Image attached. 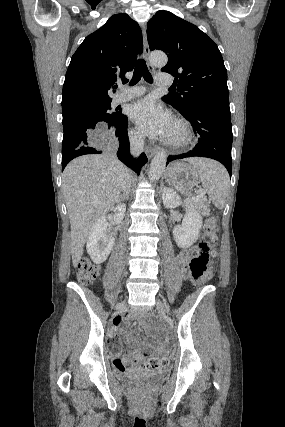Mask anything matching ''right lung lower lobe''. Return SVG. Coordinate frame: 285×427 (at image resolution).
<instances>
[{"mask_svg":"<svg viewBox=\"0 0 285 427\" xmlns=\"http://www.w3.org/2000/svg\"><path fill=\"white\" fill-rule=\"evenodd\" d=\"M121 117L108 128L104 123L90 118L77 117L71 122H65L62 142V170L74 158L85 154L102 153V136L106 132L112 133L118 144L117 156L125 165L140 173L141 167L147 162L144 153L137 159L130 154V145L127 135L128 119L121 112Z\"/></svg>","mask_w":285,"mask_h":427,"instance_id":"right-lung-lower-lobe-1","label":"right lung lower lobe"}]
</instances>
